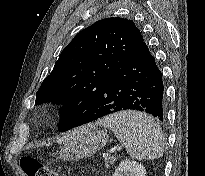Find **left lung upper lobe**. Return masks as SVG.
<instances>
[{"instance_id":"left-lung-upper-lobe-1","label":"left lung upper lobe","mask_w":205,"mask_h":176,"mask_svg":"<svg viewBox=\"0 0 205 176\" xmlns=\"http://www.w3.org/2000/svg\"><path fill=\"white\" fill-rule=\"evenodd\" d=\"M143 42L132 20L106 18L80 31L63 49L36 93V105L53 102L60 109L61 131L74 127L106 81Z\"/></svg>"}]
</instances>
